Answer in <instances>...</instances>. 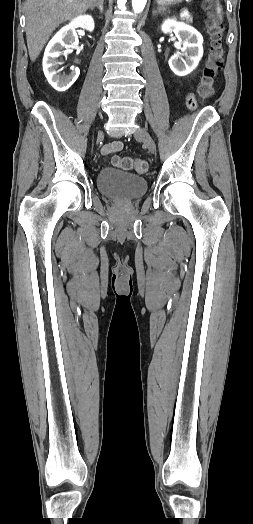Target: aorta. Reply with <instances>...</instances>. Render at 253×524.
Masks as SVG:
<instances>
[{
    "label": "aorta",
    "instance_id": "aorta-1",
    "mask_svg": "<svg viewBox=\"0 0 253 524\" xmlns=\"http://www.w3.org/2000/svg\"><path fill=\"white\" fill-rule=\"evenodd\" d=\"M147 0H132V7L135 13H141L146 5Z\"/></svg>",
    "mask_w": 253,
    "mask_h": 524
}]
</instances>
